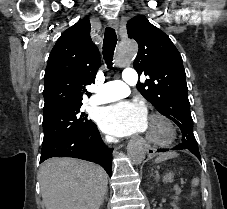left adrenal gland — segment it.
Segmentation results:
<instances>
[{"instance_id": "obj_1", "label": "left adrenal gland", "mask_w": 227, "mask_h": 209, "mask_svg": "<svg viewBox=\"0 0 227 209\" xmlns=\"http://www.w3.org/2000/svg\"><path fill=\"white\" fill-rule=\"evenodd\" d=\"M153 177H155L156 181H159L160 175H158V171H156V175H153Z\"/></svg>"}]
</instances>
